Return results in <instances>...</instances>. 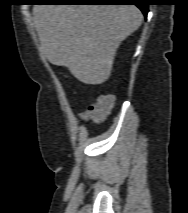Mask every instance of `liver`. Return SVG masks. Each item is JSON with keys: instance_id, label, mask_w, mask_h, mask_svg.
<instances>
[{"instance_id": "6515ba94", "label": "liver", "mask_w": 188, "mask_h": 213, "mask_svg": "<svg viewBox=\"0 0 188 213\" xmlns=\"http://www.w3.org/2000/svg\"><path fill=\"white\" fill-rule=\"evenodd\" d=\"M33 18L48 61L96 85L109 79L119 45L143 15L134 5H35Z\"/></svg>"}]
</instances>
